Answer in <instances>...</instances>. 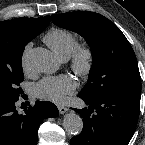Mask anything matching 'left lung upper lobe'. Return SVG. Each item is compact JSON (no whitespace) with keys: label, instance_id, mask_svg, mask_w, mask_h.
Returning <instances> with one entry per match:
<instances>
[{"label":"left lung upper lobe","instance_id":"1","mask_svg":"<svg viewBox=\"0 0 145 145\" xmlns=\"http://www.w3.org/2000/svg\"><path fill=\"white\" fill-rule=\"evenodd\" d=\"M52 21L80 34L91 48L92 67L88 82L79 94L99 98L119 92L141 91L135 53L113 22L90 11L53 14Z\"/></svg>","mask_w":145,"mask_h":145}]
</instances>
